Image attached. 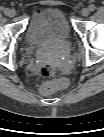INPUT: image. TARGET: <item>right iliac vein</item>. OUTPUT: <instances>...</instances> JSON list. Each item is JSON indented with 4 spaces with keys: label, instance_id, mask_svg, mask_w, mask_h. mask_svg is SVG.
<instances>
[{
    "label": "right iliac vein",
    "instance_id": "1",
    "mask_svg": "<svg viewBox=\"0 0 104 137\" xmlns=\"http://www.w3.org/2000/svg\"><path fill=\"white\" fill-rule=\"evenodd\" d=\"M7 15H8L9 17H14V16L16 15V11H15L14 9H9V10L7 11Z\"/></svg>",
    "mask_w": 104,
    "mask_h": 137
}]
</instances>
